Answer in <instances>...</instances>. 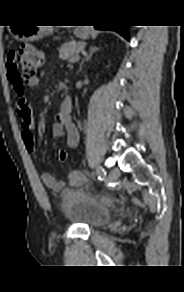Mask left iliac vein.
<instances>
[{
  "mask_svg": "<svg viewBox=\"0 0 184 292\" xmlns=\"http://www.w3.org/2000/svg\"><path fill=\"white\" fill-rule=\"evenodd\" d=\"M120 175V171L118 169H112L108 175V182L109 183H114L118 179Z\"/></svg>",
  "mask_w": 184,
  "mask_h": 292,
  "instance_id": "4c4485c4",
  "label": "left iliac vein"
}]
</instances>
